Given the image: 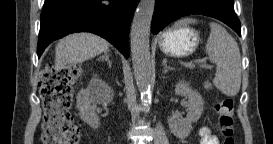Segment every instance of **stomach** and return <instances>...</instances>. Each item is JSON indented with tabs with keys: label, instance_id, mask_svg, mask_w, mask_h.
I'll list each match as a JSON object with an SVG mask.
<instances>
[{
	"label": "stomach",
	"instance_id": "stomach-1",
	"mask_svg": "<svg viewBox=\"0 0 273 144\" xmlns=\"http://www.w3.org/2000/svg\"><path fill=\"white\" fill-rule=\"evenodd\" d=\"M199 34L188 27L168 29L159 39L161 51L167 55L184 57L192 54L199 44Z\"/></svg>",
	"mask_w": 273,
	"mask_h": 144
}]
</instances>
